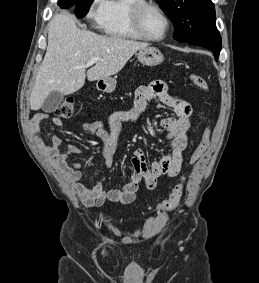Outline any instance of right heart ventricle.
I'll return each mask as SVG.
<instances>
[{
    "label": "right heart ventricle",
    "instance_id": "1",
    "mask_svg": "<svg viewBox=\"0 0 259 283\" xmlns=\"http://www.w3.org/2000/svg\"><path fill=\"white\" fill-rule=\"evenodd\" d=\"M142 1L144 0H108L99 25L102 32L119 39H142L131 19V7Z\"/></svg>",
    "mask_w": 259,
    "mask_h": 283
}]
</instances>
